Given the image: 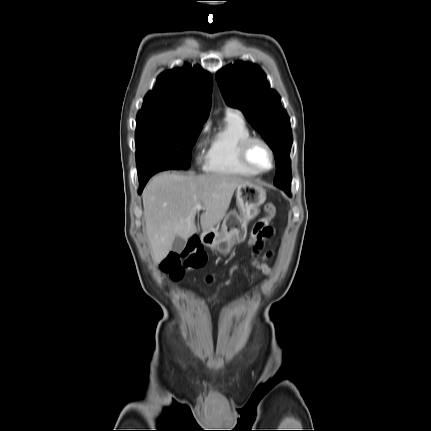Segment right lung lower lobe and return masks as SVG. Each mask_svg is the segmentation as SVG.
Returning <instances> with one entry per match:
<instances>
[{
  "mask_svg": "<svg viewBox=\"0 0 431 431\" xmlns=\"http://www.w3.org/2000/svg\"><path fill=\"white\" fill-rule=\"evenodd\" d=\"M156 171H152V172H148L146 174H138V179H139V193H141L143 187L145 186V184L147 183L148 179L155 174Z\"/></svg>",
  "mask_w": 431,
  "mask_h": 431,
  "instance_id": "right-lung-lower-lobe-1",
  "label": "right lung lower lobe"
}]
</instances>
